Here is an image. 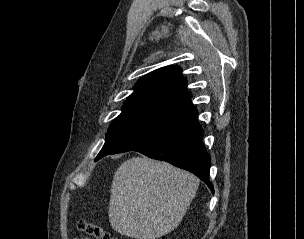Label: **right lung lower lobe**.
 <instances>
[{
  "instance_id": "right-lung-lower-lobe-1",
  "label": "right lung lower lobe",
  "mask_w": 304,
  "mask_h": 239,
  "mask_svg": "<svg viewBox=\"0 0 304 239\" xmlns=\"http://www.w3.org/2000/svg\"><path fill=\"white\" fill-rule=\"evenodd\" d=\"M194 111L168 121L109 154L138 151L150 158L163 160L188 170L204 181L212 193L209 181L210 156L201 141L202 128Z\"/></svg>"
}]
</instances>
